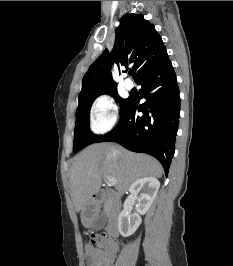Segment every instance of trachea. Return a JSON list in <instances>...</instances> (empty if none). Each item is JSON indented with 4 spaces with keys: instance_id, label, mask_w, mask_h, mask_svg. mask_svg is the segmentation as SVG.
I'll use <instances>...</instances> for the list:
<instances>
[{
    "instance_id": "obj_1",
    "label": "trachea",
    "mask_w": 233,
    "mask_h": 266,
    "mask_svg": "<svg viewBox=\"0 0 233 266\" xmlns=\"http://www.w3.org/2000/svg\"><path fill=\"white\" fill-rule=\"evenodd\" d=\"M129 74L132 76L133 75V71H130Z\"/></svg>"
}]
</instances>
